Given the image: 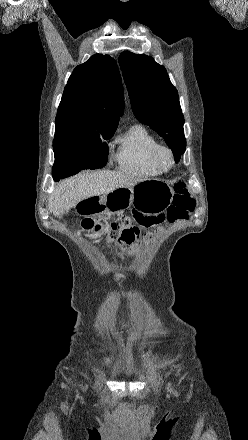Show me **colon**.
Returning <instances> with one entry per match:
<instances>
[{
	"label": "colon",
	"instance_id": "5ec220e1",
	"mask_svg": "<svg viewBox=\"0 0 248 440\" xmlns=\"http://www.w3.org/2000/svg\"><path fill=\"white\" fill-rule=\"evenodd\" d=\"M172 204L164 213L149 216L144 211L136 209L132 216H124L112 224L111 236L119 239L123 244H131L140 236L139 229L133 225L152 226L168 220L170 222L186 219L195 208V200L184 183L178 182L174 186Z\"/></svg>",
	"mask_w": 248,
	"mask_h": 440
}]
</instances>
